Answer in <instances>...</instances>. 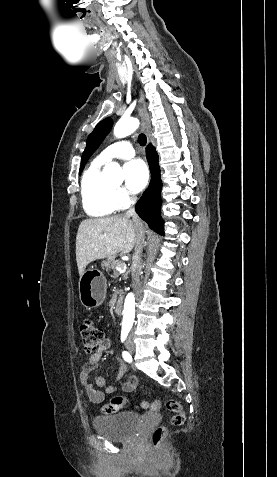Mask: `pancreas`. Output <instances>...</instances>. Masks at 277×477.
Instances as JSON below:
<instances>
[{"instance_id": "1", "label": "pancreas", "mask_w": 277, "mask_h": 477, "mask_svg": "<svg viewBox=\"0 0 277 477\" xmlns=\"http://www.w3.org/2000/svg\"><path fill=\"white\" fill-rule=\"evenodd\" d=\"M122 262L119 260H116V256L113 255L111 257H108L106 261L102 263V267L106 269L107 271L112 270L113 271V276L117 277L120 275V273L116 270V267ZM127 276V275H126Z\"/></svg>"}]
</instances>
